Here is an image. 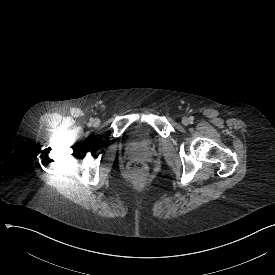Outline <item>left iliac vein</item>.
<instances>
[{"label":"left iliac vein","instance_id":"4c4485c4","mask_svg":"<svg viewBox=\"0 0 275 275\" xmlns=\"http://www.w3.org/2000/svg\"><path fill=\"white\" fill-rule=\"evenodd\" d=\"M182 123H183L184 125H188V124H189V119H188L187 117H183V118H182Z\"/></svg>","mask_w":275,"mask_h":275}]
</instances>
